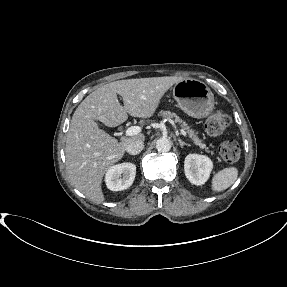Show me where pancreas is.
<instances>
[{
    "label": "pancreas",
    "mask_w": 287,
    "mask_h": 287,
    "mask_svg": "<svg viewBox=\"0 0 287 287\" xmlns=\"http://www.w3.org/2000/svg\"><path fill=\"white\" fill-rule=\"evenodd\" d=\"M160 116L168 119L174 118L175 122L180 124V127L188 134L195 145L199 146L201 149H204L206 152L213 154V151H210L209 147H207L206 144H204V142L198 138L197 132L191 129L190 126H188V124L184 120L180 119V117L175 113L170 111H160Z\"/></svg>",
    "instance_id": "cf45deb5"
}]
</instances>
